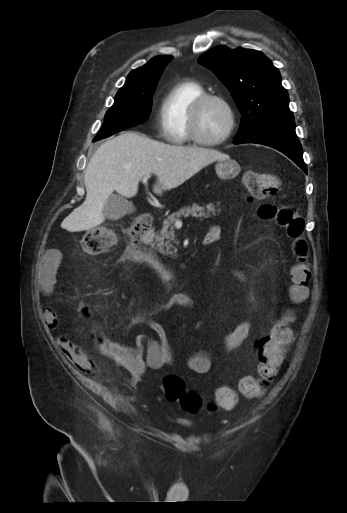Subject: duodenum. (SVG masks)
<instances>
[{
    "label": "duodenum",
    "instance_id": "obj_1",
    "mask_svg": "<svg viewBox=\"0 0 347 513\" xmlns=\"http://www.w3.org/2000/svg\"><path fill=\"white\" fill-rule=\"evenodd\" d=\"M153 221L151 213H143L138 216L127 231L128 249L127 253L130 257L151 261L158 265L161 269L171 274L172 279H176L177 275L164 263H162L149 248L151 241L150 228ZM217 240V235L207 233L204 237V244L208 245Z\"/></svg>",
    "mask_w": 347,
    "mask_h": 513
}]
</instances>
